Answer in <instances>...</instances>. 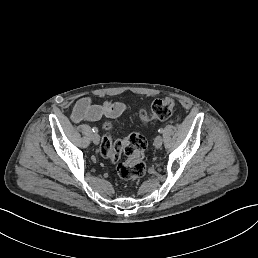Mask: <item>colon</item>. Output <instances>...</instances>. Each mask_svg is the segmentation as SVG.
I'll return each instance as SVG.
<instances>
[{
    "label": "colon",
    "mask_w": 258,
    "mask_h": 258,
    "mask_svg": "<svg viewBox=\"0 0 258 258\" xmlns=\"http://www.w3.org/2000/svg\"><path fill=\"white\" fill-rule=\"evenodd\" d=\"M174 100L165 97L157 99L152 103L150 112L140 110L139 116L144 123L152 120L168 119L174 109ZM107 133L102 137L99 147L100 154L118 163L123 155L126 160L117 165L118 176L125 182H133L145 174L146 164L144 153L147 147L146 139L139 133H132L124 139L113 140L109 131L112 128L110 122L104 124Z\"/></svg>",
    "instance_id": "1"
}]
</instances>
